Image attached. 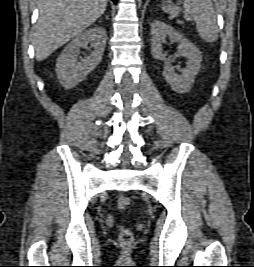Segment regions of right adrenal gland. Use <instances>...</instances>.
<instances>
[{
  "instance_id": "obj_1",
  "label": "right adrenal gland",
  "mask_w": 254,
  "mask_h": 267,
  "mask_svg": "<svg viewBox=\"0 0 254 267\" xmlns=\"http://www.w3.org/2000/svg\"><path fill=\"white\" fill-rule=\"evenodd\" d=\"M106 19H109V16L108 15H106Z\"/></svg>"
}]
</instances>
